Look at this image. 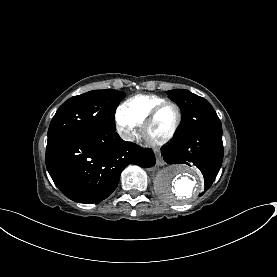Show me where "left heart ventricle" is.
Returning a JSON list of instances; mask_svg holds the SVG:
<instances>
[{"instance_id":"1","label":"left heart ventricle","mask_w":277,"mask_h":277,"mask_svg":"<svg viewBox=\"0 0 277 277\" xmlns=\"http://www.w3.org/2000/svg\"><path fill=\"white\" fill-rule=\"evenodd\" d=\"M177 120L176 109L173 106L164 108L158 115L155 123L149 129L147 136L151 139L165 137L174 127Z\"/></svg>"}]
</instances>
